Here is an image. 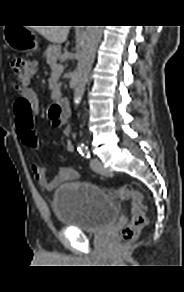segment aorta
Here are the masks:
<instances>
[{"label": "aorta", "instance_id": "762f6f07", "mask_svg": "<svg viewBox=\"0 0 184 292\" xmlns=\"http://www.w3.org/2000/svg\"><path fill=\"white\" fill-rule=\"evenodd\" d=\"M103 26H87L80 47L78 64L74 74V102L78 105L83 97Z\"/></svg>", "mask_w": 184, "mask_h": 292}]
</instances>
